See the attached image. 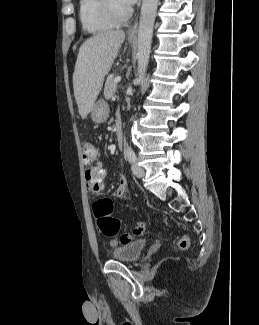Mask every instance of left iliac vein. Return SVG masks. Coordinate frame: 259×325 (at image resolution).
Instances as JSON below:
<instances>
[{
	"mask_svg": "<svg viewBox=\"0 0 259 325\" xmlns=\"http://www.w3.org/2000/svg\"><path fill=\"white\" fill-rule=\"evenodd\" d=\"M132 172L138 178H142L144 176L143 168L140 167L136 162L132 164Z\"/></svg>",
	"mask_w": 259,
	"mask_h": 325,
	"instance_id": "left-iliac-vein-1",
	"label": "left iliac vein"
}]
</instances>
